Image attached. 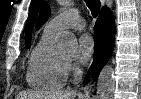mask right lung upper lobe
<instances>
[{
	"label": "right lung upper lobe",
	"instance_id": "1",
	"mask_svg": "<svg viewBox=\"0 0 141 99\" xmlns=\"http://www.w3.org/2000/svg\"><path fill=\"white\" fill-rule=\"evenodd\" d=\"M50 14V7L44 2L41 7L39 20L37 22L36 27L39 28L42 23H44Z\"/></svg>",
	"mask_w": 141,
	"mask_h": 99
}]
</instances>
